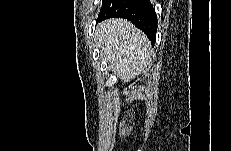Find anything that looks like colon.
<instances>
[{
    "label": "colon",
    "instance_id": "colon-1",
    "mask_svg": "<svg viewBox=\"0 0 231 151\" xmlns=\"http://www.w3.org/2000/svg\"><path fill=\"white\" fill-rule=\"evenodd\" d=\"M130 132V128L127 126H122L121 128V135L122 136H127Z\"/></svg>",
    "mask_w": 231,
    "mask_h": 151
}]
</instances>
